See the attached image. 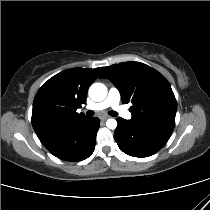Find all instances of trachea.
<instances>
[{
	"instance_id": "3493384b",
	"label": "trachea",
	"mask_w": 210,
	"mask_h": 210,
	"mask_svg": "<svg viewBox=\"0 0 210 210\" xmlns=\"http://www.w3.org/2000/svg\"><path fill=\"white\" fill-rule=\"evenodd\" d=\"M87 115L88 116H93L94 112L92 110H89V111H87ZM109 115L115 117V116H117V113L115 111H110Z\"/></svg>"
}]
</instances>
